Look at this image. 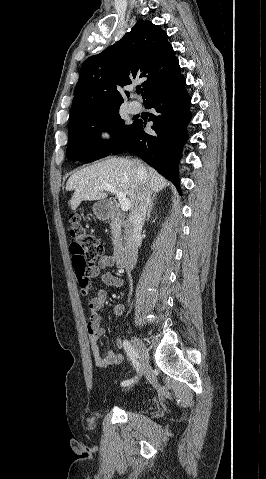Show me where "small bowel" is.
<instances>
[{"label": "small bowel", "mask_w": 266, "mask_h": 479, "mask_svg": "<svg viewBox=\"0 0 266 479\" xmlns=\"http://www.w3.org/2000/svg\"><path fill=\"white\" fill-rule=\"evenodd\" d=\"M114 264L111 256H103L98 264L88 271L91 278H100L101 281L108 287L121 288L123 286V280L115 274L107 272L106 269L112 267ZM107 299V291L100 289L96 295L89 301L90 318L87 324V333L89 342L91 344V353L98 368H107L112 365L120 364L123 360V355L120 352L122 349V341L116 338L114 345L116 350H109L105 355H102L98 342L105 334V329L102 326L101 312L104 309ZM124 306L117 304L113 307V315L120 317L123 315Z\"/></svg>", "instance_id": "small-bowel-1"}]
</instances>
